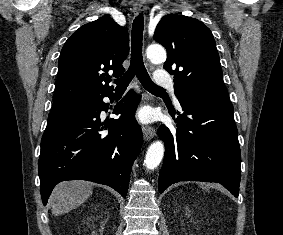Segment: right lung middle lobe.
Instances as JSON below:
<instances>
[{"label": "right lung middle lobe", "mask_w": 283, "mask_h": 235, "mask_svg": "<svg viewBox=\"0 0 283 235\" xmlns=\"http://www.w3.org/2000/svg\"><path fill=\"white\" fill-rule=\"evenodd\" d=\"M87 103L88 99L54 103L48 117L47 126L55 125L77 114Z\"/></svg>", "instance_id": "right-lung-middle-lobe-1"}]
</instances>
